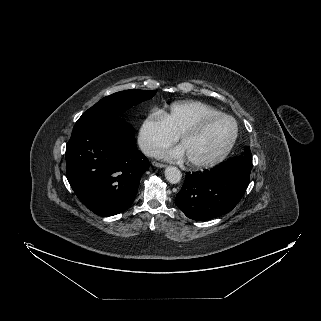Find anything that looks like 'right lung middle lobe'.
I'll use <instances>...</instances> for the list:
<instances>
[{"instance_id": "obj_1", "label": "right lung middle lobe", "mask_w": 321, "mask_h": 321, "mask_svg": "<svg viewBox=\"0 0 321 321\" xmlns=\"http://www.w3.org/2000/svg\"><path fill=\"white\" fill-rule=\"evenodd\" d=\"M155 94L156 92L148 90H126L111 94L85 111L75 125L117 117L123 111L152 98Z\"/></svg>"}]
</instances>
